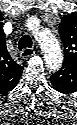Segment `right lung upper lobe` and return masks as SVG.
Masks as SVG:
<instances>
[{"label": "right lung upper lobe", "instance_id": "1", "mask_svg": "<svg viewBox=\"0 0 77 125\" xmlns=\"http://www.w3.org/2000/svg\"><path fill=\"white\" fill-rule=\"evenodd\" d=\"M1 44L3 46V51L0 54L1 86L3 92H8L16 86V83L22 74L23 67L17 64L7 52L3 33L1 35Z\"/></svg>", "mask_w": 77, "mask_h": 125}]
</instances>
